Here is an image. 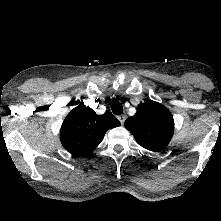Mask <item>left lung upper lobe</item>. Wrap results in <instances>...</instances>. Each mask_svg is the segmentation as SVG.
Returning a JSON list of instances; mask_svg holds the SVG:
<instances>
[{
  "instance_id": "1",
  "label": "left lung upper lobe",
  "mask_w": 221,
  "mask_h": 221,
  "mask_svg": "<svg viewBox=\"0 0 221 221\" xmlns=\"http://www.w3.org/2000/svg\"><path fill=\"white\" fill-rule=\"evenodd\" d=\"M124 125L140 146L154 152L168 145L174 130L170 111L151 100L138 105L136 114L129 117Z\"/></svg>"
}]
</instances>
